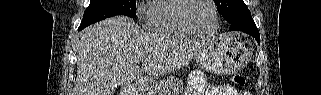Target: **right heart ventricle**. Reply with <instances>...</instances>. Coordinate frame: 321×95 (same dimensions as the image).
Wrapping results in <instances>:
<instances>
[{"instance_id":"right-heart-ventricle-1","label":"right heart ventricle","mask_w":321,"mask_h":95,"mask_svg":"<svg viewBox=\"0 0 321 95\" xmlns=\"http://www.w3.org/2000/svg\"><path fill=\"white\" fill-rule=\"evenodd\" d=\"M183 0H154L147 26L150 30L174 35L194 36L177 20V10Z\"/></svg>"}]
</instances>
